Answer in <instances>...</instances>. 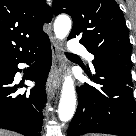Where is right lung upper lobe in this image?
<instances>
[{"mask_svg":"<svg viewBox=\"0 0 136 136\" xmlns=\"http://www.w3.org/2000/svg\"><path fill=\"white\" fill-rule=\"evenodd\" d=\"M52 10L44 0H0V63L16 58L48 37Z\"/></svg>","mask_w":136,"mask_h":136,"instance_id":"right-lung-upper-lobe-1","label":"right lung upper lobe"}]
</instances>
